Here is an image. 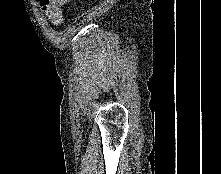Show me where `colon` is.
<instances>
[{"instance_id":"5ec220e1","label":"colon","mask_w":221,"mask_h":174,"mask_svg":"<svg viewBox=\"0 0 221 174\" xmlns=\"http://www.w3.org/2000/svg\"><path fill=\"white\" fill-rule=\"evenodd\" d=\"M66 2L67 0H39V5L52 23L60 24L63 19L62 6Z\"/></svg>"}]
</instances>
